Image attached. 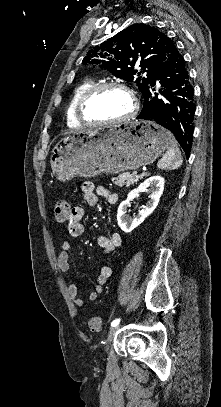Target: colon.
Returning <instances> with one entry per match:
<instances>
[{
	"label": "colon",
	"mask_w": 221,
	"mask_h": 407,
	"mask_svg": "<svg viewBox=\"0 0 221 407\" xmlns=\"http://www.w3.org/2000/svg\"><path fill=\"white\" fill-rule=\"evenodd\" d=\"M73 209L67 202H59L55 207V217L58 222L67 223L71 217ZM88 328L92 333H98L102 331L103 321L100 317H92L88 323Z\"/></svg>",
	"instance_id": "1"
}]
</instances>
